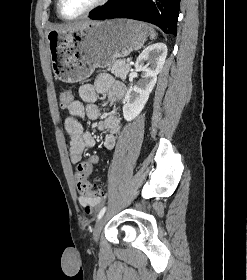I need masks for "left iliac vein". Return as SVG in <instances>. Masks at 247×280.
<instances>
[{"label":"left iliac vein","instance_id":"obj_1","mask_svg":"<svg viewBox=\"0 0 247 280\" xmlns=\"http://www.w3.org/2000/svg\"><path fill=\"white\" fill-rule=\"evenodd\" d=\"M104 224H105V217H102L97 221L93 231V239L95 242H98Z\"/></svg>","mask_w":247,"mask_h":280}]
</instances>
